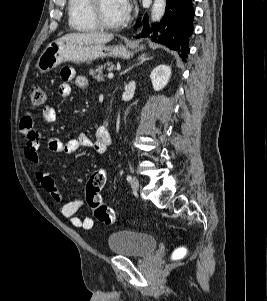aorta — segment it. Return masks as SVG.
I'll use <instances>...</instances> for the list:
<instances>
[{"label":"aorta","instance_id":"1","mask_svg":"<svg viewBox=\"0 0 267 301\" xmlns=\"http://www.w3.org/2000/svg\"><path fill=\"white\" fill-rule=\"evenodd\" d=\"M166 9V0H154L151 11V20L153 22L160 21Z\"/></svg>","mask_w":267,"mask_h":301}]
</instances>
